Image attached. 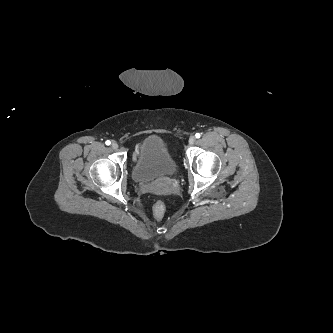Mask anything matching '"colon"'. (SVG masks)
Listing matches in <instances>:
<instances>
[{"label": "colon", "mask_w": 333, "mask_h": 333, "mask_svg": "<svg viewBox=\"0 0 333 333\" xmlns=\"http://www.w3.org/2000/svg\"><path fill=\"white\" fill-rule=\"evenodd\" d=\"M165 212V205L163 202L158 201L153 207V214L157 219H161Z\"/></svg>", "instance_id": "colon-1"}]
</instances>
